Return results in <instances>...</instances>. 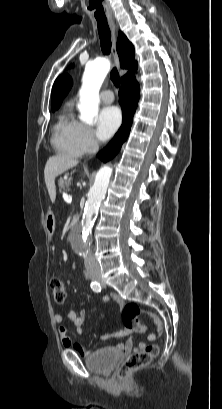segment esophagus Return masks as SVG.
I'll list each match as a JSON object with an SVG mask.
<instances>
[{
    "instance_id": "obj_1",
    "label": "esophagus",
    "mask_w": 222,
    "mask_h": 409,
    "mask_svg": "<svg viewBox=\"0 0 222 409\" xmlns=\"http://www.w3.org/2000/svg\"><path fill=\"white\" fill-rule=\"evenodd\" d=\"M109 24H110V27H111V30H112V50L111 51H112V55H113V57L115 59L116 65L119 68L120 67V60H119V57H118V54H117V51H116L117 36H116L115 24H114L113 21H110Z\"/></svg>"
}]
</instances>
